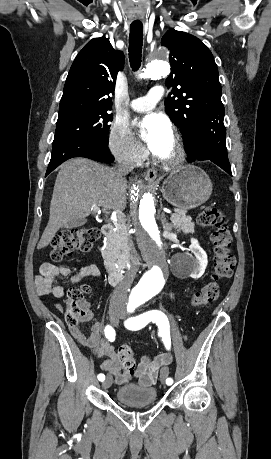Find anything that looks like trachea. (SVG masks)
<instances>
[{
    "label": "trachea",
    "instance_id": "obj_1",
    "mask_svg": "<svg viewBox=\"0 0 271 459\" xmlns=\"http://www.w3.org/2000/svg\"><path fill=\"white\" fill-rule=\"evenodd\" d=\"M143 46V25L131 24L129 36V61L133 71L141 66V53Z\"/></svg>",
    "mask_w": 271,
    "mask_h": 459
}]
</instances>
